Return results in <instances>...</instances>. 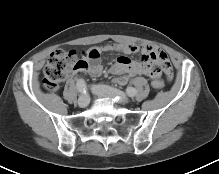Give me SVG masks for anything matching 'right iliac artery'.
<instances>
[{
	"instance_id": "right-iliac-artery-1",
	"label": "right iliac artery",
	"mask_w": 219,
	"mask_h": 174,
	"mask_svg": "<svg viewBox=\"0 0 219 174\" xmlns=\"http://www.w3.org/2000/svg\"><path fill=\"white\" fill-rule=\"evenodd\" d=\"M77 89L80 93L86 94L87 93V86L83 79H79L77 81Z\"/></svg>"
}]
</instances>
